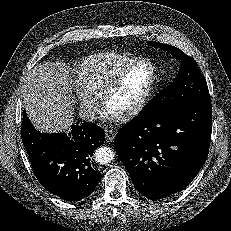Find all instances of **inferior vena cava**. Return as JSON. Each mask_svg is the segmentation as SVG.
Returning a JSON list of instances; mask_svg holds the SVG:
<instances>
[{"label": "inferior vena cava", "mask_w": 231, "mask_h": 231, "mask_svg": "<svg viewBox=\"0 0 231 231\" xmlns=\"http://www.w3.org/2000/svg\"><path fill=\"white\" fill-rule=\"evenodd\" d=\"M79 116L84 121H94L96 120L95 111L92 107L82 106L79 109Z\"/></svg>", "instance_id": "obj_1"}]
</instances>
